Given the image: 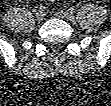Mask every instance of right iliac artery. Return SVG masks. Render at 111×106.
<instances>
[{
  "label": "right iliac artery",
  "instance_id": "1",
  "mask_svg": "<svg viewBox=\"0 0 111 106\" xmlns=\"http://www.w3.org/2000/svg\"><path fill=\"white\" fill-rule=\"evenodd\" d=\"M45 9H46L45 6H40V7H39V11H41V12L45 11Z\"/></svg>",
  "mask_w": 111,
  "mask_h": 106
}]
</instances>
